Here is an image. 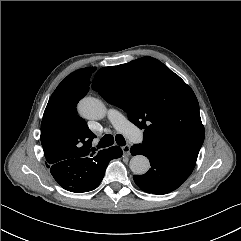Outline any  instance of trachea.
<instances>
[{"label":"trachea","mask_w":241,"mask_h":241,"mask_svg":"<svg viewBox=\"0 0 241 241\" xmlns=\"http://www.w3.org/2000/svg\"><path fill=\"white\" fill-rule=\"evenodd\" d=\"M115 141L119 146L126 145V141L121 134L116 135ZM113 143H114L113 136L111 134H106L105 136H103V138H101L98 144V148H105V147L111 146Z\"/></svg>","instance_id":"obj_1"}]
</instances>
